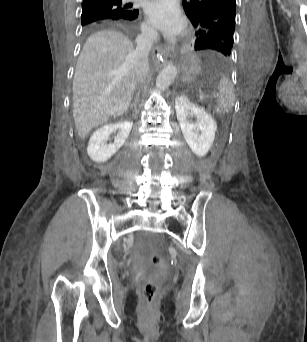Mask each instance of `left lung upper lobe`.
Returning a JSON list of instances; mask_svg holds the SVG:
<instances>
[{"label": "left lung upper lobe", "instance_id": "5c2ea615", "mask_svg": "<svg viewBox=\"0 0 307 342\" xmlns=\"http://www.w3.org/2000/svg\"><path fill=\"white\" fill-rule=\"evenodd\" d=\"M236 0L184 1L185 12L197 28L195 50L211 49L230 56L235 30Z\"/></svg>", "mask_w": 307, "mask_h": 342}]
</instances>
